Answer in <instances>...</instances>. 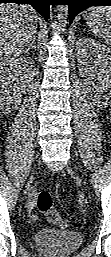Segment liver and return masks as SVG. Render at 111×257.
Returning <instances> with one entry per match:
<instances>
[{
  "mask_svg": "<svg viewBox=\"0 0 111 257\" xmlns=\"http://www.w3.org/2000/svg\"><path fill=\"white\" fill-rule=\"evenodd\" d=\"M41 18L28 5H0V65L7 66L28 47Z\"/></svg>",
  "mask_w": 111,
  "mask_h": 257,
  "instance_id": "1",
  "label": "liver"
}]
</instances>
